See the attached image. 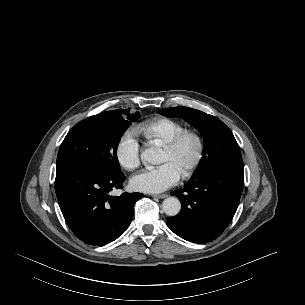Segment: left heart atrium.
I'll return each mask as SVG.
<instances>
[{
  "mask_svg": "<svg viewBox=\"0 0 305 305\" xmlns=\"http://www.w3.org/2000/svg\"><path fill=\"white\" fill-rule=\"evenodd\" d=\"M181 175V171L175 165L164 163L133 176L130 184L137 191L160 193L176 185Z\"/></svg>",
  "mask_w": 305,
  "mask_h": 305,
  "instance_id": "1",
  "label": "left heart atrium"
}]
</instances>
